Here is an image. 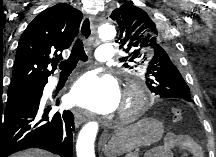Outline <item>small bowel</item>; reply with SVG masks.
<instances>
[{
  "label": "small bowel",
  "mask_w": 216,
  "mask_h": 157,
  "mask_svg": "<svg viewBox=\"0 0 216 157\" xmlns=\"http://www.w3.org/2000/svg\"><path fill=\"white\" fill-rule=\"evenodd\" d=\"M175 150H179L184 157L188 154L192 157H204V150L195 139L184 134L171 132L167 135L159 157H173Z\"/></svg>",
  "instance_id": "1"
}]
</instances>
